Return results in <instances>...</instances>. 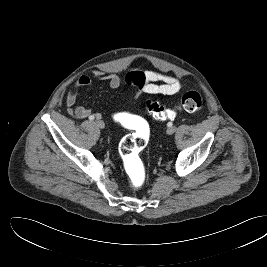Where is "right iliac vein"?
<instances>
[{
    "label": "right iliac vein",
    "mask_w": 267,
    "mask_h": 267,
    "mask_svg": "<svg viewBox=\"0 0 267 267\" xmlns=\"http://www.w3.org/2000/svg\"><path fill=\"white\" fill-rule=\"evenodd\" d=\"M95 124L97 125V127L103 129L105 127V123L102 120H97L95 122Z\"/></svg>",
    "instance_id": "1"
}]
</instances>
